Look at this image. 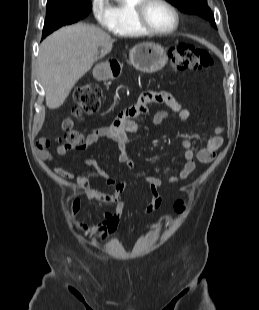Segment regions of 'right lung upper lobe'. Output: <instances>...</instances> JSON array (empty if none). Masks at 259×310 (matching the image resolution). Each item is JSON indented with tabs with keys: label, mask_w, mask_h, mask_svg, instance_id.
I'll return each mask as SVG.
<instances>
[{
	"label": "right lung upper lobe",
	"mask_w": 259,
	"mask_h": 310,
	"mask_svg": "<svg viewBox=\"0 0 259 310\" xmlns=\"http://www.w3.org/2000/svg\"><path fill=\"white\" fill-rule=\"evenodd\" d=\"M84 1H90V0H47V6L57 5V4H62V3L84 2Z\"/></svg>",
	"instance_id": "cb5924a9"
}]
</instances>
